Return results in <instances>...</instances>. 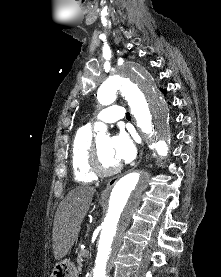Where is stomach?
<instances>
[{
  "mask_svg": "<svg viewBox=\"0 0 221 277\" xmlns=\"http://www.w3.org/2000/svg\"><path fill=\"white\" fill-rule=\"evenodd\" d=\"M51 277H78V270L70 259H64L55 264Z\"/></svg>",
  "mask_w": 221,
  "mask_h": 277,
  "instance_id": "1",
  "label": "stomach"
}]
</instances>
